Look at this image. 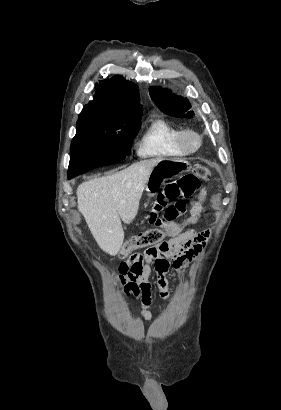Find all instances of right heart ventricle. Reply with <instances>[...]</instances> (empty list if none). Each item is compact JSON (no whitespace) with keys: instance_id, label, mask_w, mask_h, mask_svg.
<instances>
[{"instance_id":"obj_1","label":"right heart ventricle","mask_w":281,"mask_h":410,"mask_svg":"<svg viewBox=\"0 0 281 410\" xmlns=\"http://www.w3.org/2000/svg\"><path fill=\"white\" fill-rule=\"evenodd\" d=\"M181 129L160 116L153 117L138 143L137 152L140 157L170 158L185 156L181 148L179 134Z\"/></svg>"}]
</instances>
